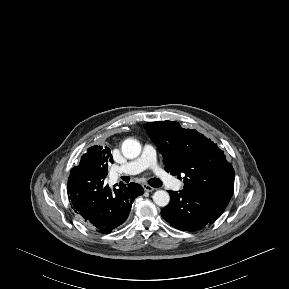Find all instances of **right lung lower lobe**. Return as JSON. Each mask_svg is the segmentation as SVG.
<instances>
[{
    "instance_id": "98d812e1",
    "label": "right lung lower lobe",
    "mask_w": 289,
    "mask_h": 289,
    "mask_svg": "<svg viewBox=\"0 0 289 289\" xmlns=\"http://www.w3.org/2000/svg\"><path fill=\"white\" fill-rule=\"evenodd\" d=\"M67 192L86 226L108 234L127 219L134 199L144 190L139 184L130 183L111 191L104 185V178L72 168Z\"/></svg>"
}]
</instances>
